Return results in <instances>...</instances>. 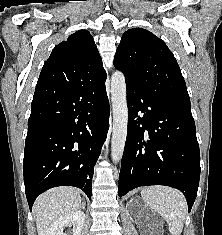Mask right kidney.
<instances>
[{
  "instance_id": "ca27d5eb",
  "label": "right kidney",
  "mask_w": 222,
  "mask_h": 235,
  "mask_svg": "<svg viewBox=\"0 0 222 235\" xmlns=\"http://www.w3.org/2000/svg\"><path fill=\"white\" fill-rule=\"evenodd\" d=\"M85 222V214L81 210L64 216L51 224L46 235H65L63 230L65 226L73 225V235H81Z\"/></svg>"
}]
</instances>
